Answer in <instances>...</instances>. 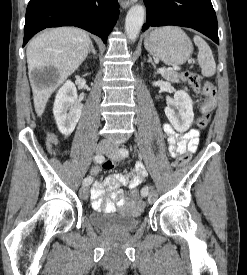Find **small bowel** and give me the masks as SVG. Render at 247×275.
<instances>
[{"label": "small bowel", "instance_id": "obj_1", "mask_svg": "<svg viewBox=\"0 0 247 275\" xmlns=\"http://www.w3.org/2000/svg\"><path fill=\"white\" fill-rule=\"evenodd\" d=\"M163 131L167 137L169 154L175 158L185 152L194 153L199 144V131L191 129L184 134H178L174 128L165 123ZM100 168L95 166L91 169V174H98ZM146 169L142 164H137L133 175L129 178L127 175L115 173L108 175L104 180L95 182L91 189L92 206L97 211L112 212L120 209L124 213H139L142 209V202L134 198H129L122 189L128 186L133 189L138 187L146 176ZM107 193L110 200L103 199V194Z\"/></svg>", "mask_w": 247, "mask_h": 275}]
</instances>
